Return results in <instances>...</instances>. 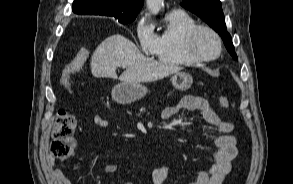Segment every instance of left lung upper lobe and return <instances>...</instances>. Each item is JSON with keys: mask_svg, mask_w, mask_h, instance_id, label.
Wrapping results in <instances>:
<instances>
[{"mask_svg": "<svg viewBox=\"0 0 293 184\" xmlns=\"http://www.w3.org/2000/svg\"><path fill=\"white\" fill-rule=\"evenodd\" d=\"M181 5L207 22L221 36L232 57L237 59L232 38L226 29L220 0H183Z\"/></svg>", "mask_w": 293, "mask_h": 184, "instance_id": "5c2ea615", "label": "left lung upper lobe"}]
</instances>
